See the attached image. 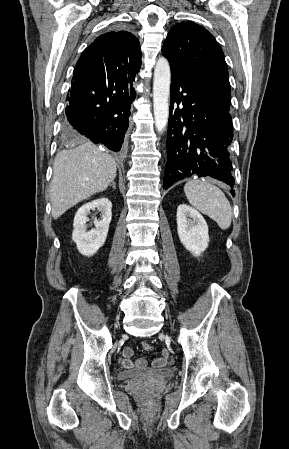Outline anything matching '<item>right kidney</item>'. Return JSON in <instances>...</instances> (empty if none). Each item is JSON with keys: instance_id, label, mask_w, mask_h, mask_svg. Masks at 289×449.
<instances>
[{"instance_id": "ca27d5eb", "label": "right kidney", "mask_w": 289, "mask_h": 449, "mask_svg": "<svg viewBox=\"0 0 289 449\" xmlns=\"http://www.w3.org/2000/svg\"><path fill=\"white\" fill-rule=\"evenodd\" d=\"M97 209L102 214V219H94V228L87 229L88 215L91 210ZM112 204L107 198H100L81 206L74 218V230L72 239L77 249L84 256L94 255L106 241L109 224L112 218Z\"/></svg>"}]
</instances>
